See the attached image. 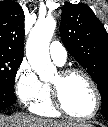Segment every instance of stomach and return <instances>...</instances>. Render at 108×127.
Returning a JSON list of instances; mask_svg holds the SVG:
<instances>
[{"mask_svg":"<svg viewBox=\"0 0 108 127\" xmlns=\"http://www.w3.org/2000/svg\"><path fill=\"white\" fill-rule=\"evenodd\" d=\"M88 127H94L93 125H90V126H88Z\"/></svg>","mask_w":108,"mask_h":127,"instance_id":"1","label":"stomach"}]
</instances>
